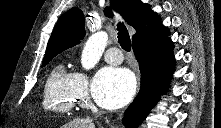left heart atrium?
<instances>
[{"instance_id":"left-heart-atrium-1","label":"left heart atrium","mask_w":221,"mask_h":128,"mask_svg":"<svg viewBox=\"0 0 221 128\" xmlns=\"http://www.w3.org/2000/svg\"><path fill=\"white\" fill-rule=\"evenodd\" d=\"M136 90L133 75L122 68H103L96 75L92 95L96 102L107 109H115L127 104Z\"/></svg>"}]
</instances>
